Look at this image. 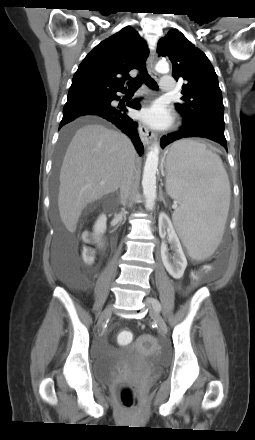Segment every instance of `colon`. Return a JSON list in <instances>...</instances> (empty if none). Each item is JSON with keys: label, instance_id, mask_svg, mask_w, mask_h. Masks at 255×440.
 <instances>
[{"label": "colon", "instance_id": "5ec220e1", "mask_svg": "<svg viewBox=\"0 0 255 440\" xmlns=\"http://www.w3.org/2000/svg\"><path fill=\"white\" fill-rule=\"evenodd\" d=\"M118 342L121 345H128L133 340V334L130 331L124 330L118 333ZM121 399L127 406H132L136 403V397L130 389H123L121 392Z\"/></svg>", "mask_w": 255, "mask_h": 440}]
</instances>
